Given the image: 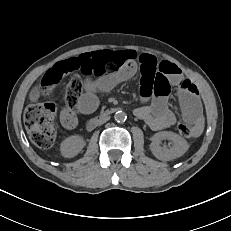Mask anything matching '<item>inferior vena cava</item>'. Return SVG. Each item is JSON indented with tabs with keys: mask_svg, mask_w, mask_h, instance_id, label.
Returning <instances> with one entry per match:
<instances>
[{
	"mask_svg": "<svg viewBox=\"0 0 231 231\" xmlns=\"http://www.w3.org/2000/svg\"><path fill=\"white\" fill-rule=\"evenodd\" d=\"M110 120V117L109 116H106L104 118L101 119V122L99 123V126L100 127H103L104 126V123H106L107 121Z\"/></svg>",
	"mask_w": 231,
	"mask_h": 231,
	"instance_id": "1",
	"label": "inferior vena cava"
}]
</instances>
